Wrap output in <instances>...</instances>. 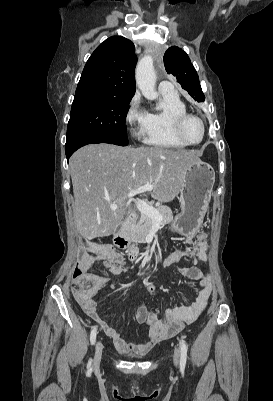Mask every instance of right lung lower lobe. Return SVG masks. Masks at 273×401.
Here are the masks:
<instances>
[{
  "label": "right lung lower lobe",
  "mask_w": 273,
  "mask_h": 401,
  "mask_svg": "<svg viewBox=\"0 0 273 401\" xmlns=\"http://www.w3.org/2000/svg\"><path fill=\"white\" fill-rule=\"evenodd\" d=\"M96 143H105V142L93 138H78L66 141L65 152L67 159L80 147L87 144H96Z\"/></svg>",
  "instance_id": "right-lung-lower-lobe-1"
}]
</instances>
